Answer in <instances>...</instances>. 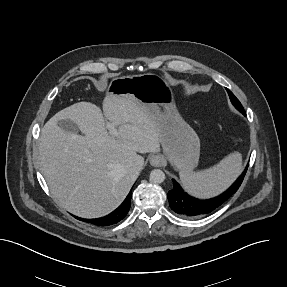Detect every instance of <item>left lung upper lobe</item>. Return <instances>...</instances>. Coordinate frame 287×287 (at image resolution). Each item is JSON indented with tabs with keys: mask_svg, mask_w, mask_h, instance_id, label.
Segmentation results:
<instances>
[{
	"mask_svg": "<svg viewBox=\"0 0 287 287\" xmlns=\"http://www.w3.org/2000/svg\"><path fill=\"white\" fill-rule=\"evenodd\" d=\"M226 90H227V92H228V94H229V97H230V100H231L232 104H233L241 113H244L245 111H244V109H243V107H242L240 101L235 97V95H234L229 89L226 88Z\"/></svg>",
	"mask_w": 287,
	"mask_h": 287,
	"instance_id": "obj_1",
	"label": "left lung upper lobe"
}]
</instances>
